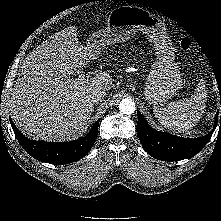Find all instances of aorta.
I'll use <instances>...</instances> for the list:
<instances>
[{
    "mask_svg": "<svg viewBox=\"0 0 221 221\" xmlns=\"http://www.w3.org/2000/svg\"><path fill=\"white\" fill-rule=\"evenodd\" d=\"M119 110L123 114L130 115L135 112V102L132 99H123L119 104Z\"/></svg>",
    "mask_w": 221,
    "mask_h": 221,
    "instance_id": "aorta-1",
    "label": "aorta"
}]
</instances>
